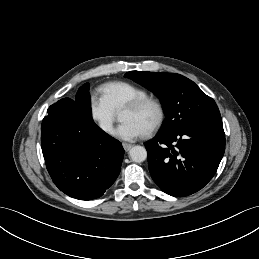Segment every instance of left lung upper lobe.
I'll return each mask as SVG.
<instances>
[{
    "label": "left lung upper lobe",
    "mask_w": 259,
    "mask_h": 259,
    "mask_svg": "<svg viewBox=\"0 0 259 259\" xmlns=\"http://www.w3.org/2000/svg\"><path fill=\"white\" fill-rule=\"evenodd\" d=\"M125 77L153 91L160 99L166 115L160 134L221 120L215 101L180 74L130 71Z\"/></svg>",
    "instance_id": "left-lung-upper-lobe-1"
}]
</instances>
